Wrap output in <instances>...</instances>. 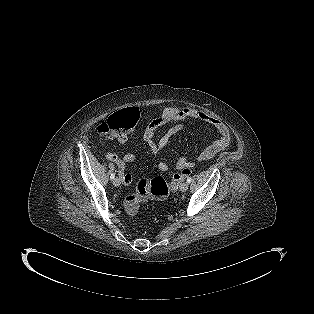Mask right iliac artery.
Masks as SVG:
<instances>
[{
    "label": "right iliac artery",
    "instance_id": "obj_1",
    "mask_svg": "<svg viewBox=\"0 0 314 314\" xmlns=\"http://www.w3.org/2000/svg\"><path fill=\"white\" fill-rule=\"evenodd\" d=\"M115 178V174H111L110 179L113 180Z\"/></svg>",
    "mask_w": 314,
    "mask_h": 314
}]
</instances>
